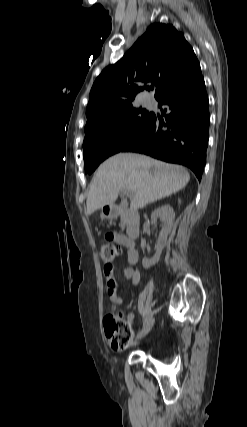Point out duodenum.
<instances>
[{"mask_svg":"<svg viewBox=\"0 0 247 427\" xmlns=\"http://www.w3.org/2000/svg\"><path fill=\"white\" fill-rule=\"evenodd\" d=\"M107 213L111 217L121 216L124 219L126 226V238L128 241H133L138 238L140 233V216L139 213L131 208H120L116 204L107 206Z\"/></svg>","mask_w":247,"mask_h":427,"instance_id":"obj_1","label":"duodenum"}]
</instances>
